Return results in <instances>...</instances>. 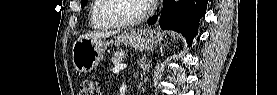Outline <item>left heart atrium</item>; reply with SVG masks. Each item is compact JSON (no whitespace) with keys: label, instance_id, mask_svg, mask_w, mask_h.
Listing matches in <instances>:
<instances>
[{"label":"left heart atrium","instance_id":"left-heart-atrium-1","mask_svg":"<svg viewBox=\"0 0 277 95\" xmlns=\"http://www.w3.org/2000/svg\"><path fill=\"white\" fill-rule=\"evenodd\" d=\"M144 1V3H148V4H154L157 2V0H142Z\"/></svg>","mask_w":277,"mask_h":95}]
</instances>
